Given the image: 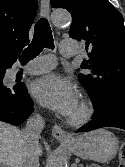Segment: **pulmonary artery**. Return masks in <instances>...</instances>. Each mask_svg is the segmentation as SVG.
<instances>
[{"mask_svg": "<svg viewBox=\"0 0 125 167\" xmlns=\"http://www.w3.org/2000/svg\"><path fill=\"white\" fill-rule=\"evenodd\" d=\"M60 52L66 58L74 57L77 52V45L74 40H62L60 42ZM55 67V57L44 55L37 58L31 65L23 69L28 75H41L51 71Z\"/></svg>", "mask_w": 125, "mask_h": 167, "instance_id": "e3ab8cb5", "label": "pulmonary artery"}]
</instances>
